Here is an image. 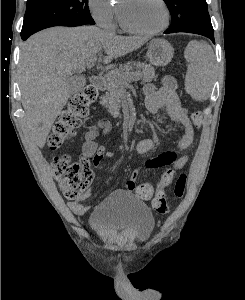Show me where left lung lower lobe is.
<instances>
[{"label":"left lung lower lobe","instance_id":"left-lung-lower-lobe-1","mask_svg":"<svg viewBox=\"0 0 245 300\" xmlns=\"http://www.w3.org/2000/svg\"><path fill=\"white\" fill-rule=\"evenodd\" d=\"M174 32H188V33H195V34L203 35L205 37L210 38L213 41V43H215L213 30L184 27V28H180V29H177L174 31H166L165 33L168 34V33H174Z\"/></svg>","mask_w":245,"mask_h":300}]
</instances>
